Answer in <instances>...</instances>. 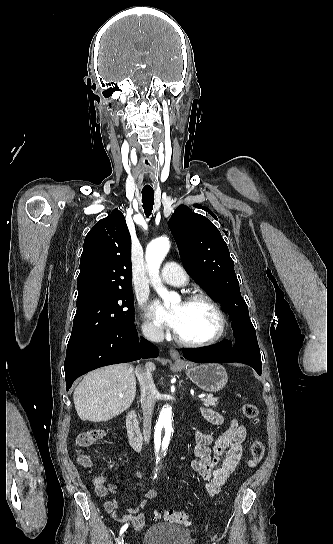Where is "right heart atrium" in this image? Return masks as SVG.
Returning a JSON list of instances; mask_svg holds the SVG:
<instances>
[{
  "instance_id": "obj_1",
  "label": "right heart atrium",
  "mask_w": 333,
  "mask_h": 544,
  "mask_svg": "<svg viewBox=\"0 0 333 544\" xmlns=\"http://www.w3.org/2000/svg\"><path fill=\"white\" fill-rule=\"evenodd\" d=\"M141 330L143 335L150 340H158L163 335L161 328L147 319L143 320Z\"/></svg>"
}]
</instances>
